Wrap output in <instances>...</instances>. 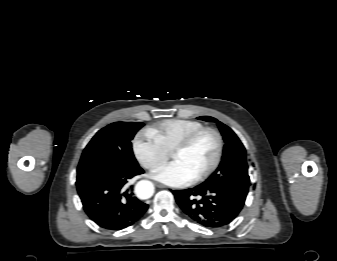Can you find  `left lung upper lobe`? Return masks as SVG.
<instances>
[{"label": "left lung upper lobe", "instance_id": "1", "mask_svg": "<svg viewBox=\"0 0 337 261\" xmlns=\"http://www.w3.org/2000/svg\"><path fill=\"white\" fill-rule=\"evenodd\" d=\"M198 119L216 122L225 141L223 157L219 167L200 186L223 189L244 203L250 179L246 162V150L243 144L228 126L215 118L203 116Z\"/></svg>", "mask_w": 337, "mask_h": 261}]
</instances>
